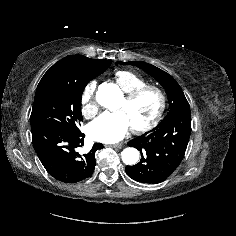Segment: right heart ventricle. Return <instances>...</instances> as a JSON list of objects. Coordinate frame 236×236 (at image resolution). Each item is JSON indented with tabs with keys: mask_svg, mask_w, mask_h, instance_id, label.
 Wrapping results in <instances>:
<instances>
[{
	"mask_svg": "<svg viewBox=\"0 0 236 236\" xmlns=\"http://www.w3.org/2000/svg\"><path fill=\"white\" fill-rule=\"evenodd\" d=\"M114 81L125 93L148 84L147 80L141 75L130 70H119L115 72Z\"/></svg>",
	"mask_w": 236,
	"mask_h": 236,
	"instance_id": "right-heart-ventricle-1",
	"label": "right heart ventricle"
}]
</instances>
